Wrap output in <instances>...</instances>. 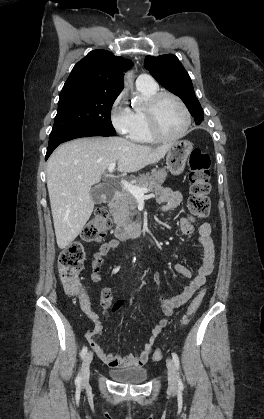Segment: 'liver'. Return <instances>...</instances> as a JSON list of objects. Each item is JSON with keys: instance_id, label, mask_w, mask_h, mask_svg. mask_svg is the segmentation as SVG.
<instances>
[{"instance_id": "1", "label": "liver", "mask_w": 264, "mask_h": 419, "mask_svg": "<svg viewBox=\"0 0 264 419\" xmlns=\"http://www.w3.org/2000/svg\"><path fill=\"white\" fill-rule=\"evenodd\" d=\"M171 144L156 148L121 137L80 138L60 145L47 163L49 192L57 245L69 246L89 220L94 201L91 187L100 182L108 166L118 162L119 172H136L160 161Z\"/></svg>"}]
</instances>
